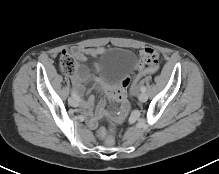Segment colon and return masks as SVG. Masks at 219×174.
<instances>
[{"instance_id":"obj_1","label":"colon","mask_w":219,"mask_h":174,"mask_svg":"<svg viewBox=\"0 0 219 174\" xmlns=\"http://www.w3.org/2000/svg\"><path fill=\"white\" fill-rule=\"evenodd\" d=\"M76 67L77 64L75 58L72 55L63 52L60 58V69L65 74L72 76L76 71ZM157 71L158 68L156 66H146L143 69H141L134 78L132 90L143 77L155 74L157 73ZM97 136L99 138L105 139V142L108 146H112L115 143V131L113 128L106 129L102 127L97 131Z\"/></svg>"}]
</instances>
